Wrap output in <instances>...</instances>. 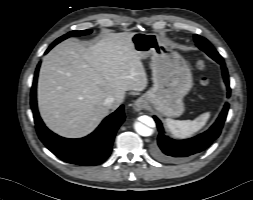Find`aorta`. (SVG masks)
<instances>
[{"label": "aorta", "mask_w": 253, "mask_h": 200, "mask_svg": "<svg viewBox=\"0 0 253 200\" xmlns=\"http://www.w3.org/2000/svg\"><path fill=\"white\" fill-rule=\"evenodd\" d=\"M134 129L141 136H150L153 134V130L141 122H136L134 124Z\"/></svg>", "instance_id": "762f6f07"}]
</instances>
